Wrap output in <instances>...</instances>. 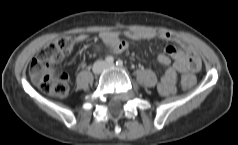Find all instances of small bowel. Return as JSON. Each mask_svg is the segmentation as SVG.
<instances>
[{
	"instance_id": "obj_1",
	"label": "small bowel",
	"mask_w": 238,
	"mask_h": 145,
	"mask_svg": "<svg viewBox=\"0 0 238 145\" xmlns=\"http://www.w3.org/2000/svg\"><path fill=\"white\" fill-rule=\"evenodd\" d=\"M100 39L115 53H121L127 49V40L154 41L162 39L178 44V49L168 46L166 53H161L157 57L158 62L166 68L158 84V91L163 96L176 92L178 73L183 75L182 82L186 79L191 80V83L186 87L190 88L195 82L194 72L198 71L201 67V61L192 44L173 32L104 31L100 34ZM74 40L77 44L82 45L89 40V35L79 34L74 37ZM170 56L173 58V63ZM81 65H84V62Z\"/></svg>"
}]
</instances>
